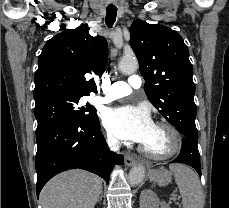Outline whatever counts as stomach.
<instances>
[{
    "instance_id": "1",
    "label": "stomach",
    "mask_w": 229,
    "mask_h": 208,
    "mask_svg": "<svg viewBox=\"0 0 229 208\" xmlns=\"http://www.w3.org/2000/svg\"><path fill=\"white\" fill-rule=\"evenodd\" d=\"M148 178H150L151 182H156L158 186H167L170 184L172 180L171 172H161V170H151L148 174Z\"/></svg>"
}]
</instances>
